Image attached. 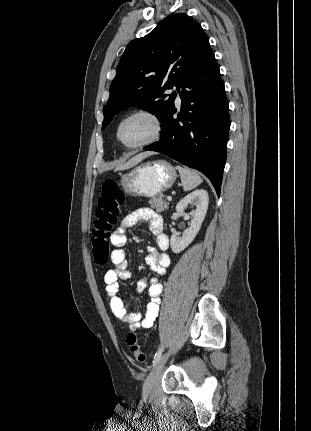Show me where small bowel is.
Masks as SVG:
<instances>
[{"label":"small bowel","mask_w":311,"mask_h":431,"mask_svg":"<svg viewBox=\"0 0 311 431\" xmlns=\"http://www.w3.org/2000/svg\"><path fill=\"white\" fill-rule=\"evenodd\" d=\"M141 221H147L149 223V229L156 241V247H148L146 263L152 271L160 276L165 275L170 265V257L167 253L169 238L164 233L163 218L161 215L150 208H141L126 215L111 237V242L114 246L111 260L115 268L105 273L104 282L106 284V294L112 313L118 319L128 323L132 330L147 329L153 325L159 313L160 296L163 290L162 284L156 277L150 278L149 280L143 279L138 283L137 290L139 292L144 291L148 286V294L151 299L143 315L138 313L129 302L119 297V280H126L131 277L124 250V246L127 242L126 235L131 227Z\"/></svg>","instance_id":"obj_1"}]
</instances>
